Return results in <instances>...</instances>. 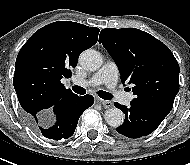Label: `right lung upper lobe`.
<instances>
[{
    "instance_id": "right-lung-upper-lobe-1",
    "label": "right lung upper lobe",
    "mask_w": 190,
    "mask_h": 165,
    "mask_svg": "<svg viewBox=\"0 0 190 165\" xmlns=\"http://www.w3.org/2000/svg\"><path fill=\"white\" fill-rule=\"evenodd\" d=\"M99 29L57 21L36 31L16 59L14 88L26 115L37 117L75 94L61 83L71 77L80 53L93 46Z\"/></svg>"
}]
</instances>
